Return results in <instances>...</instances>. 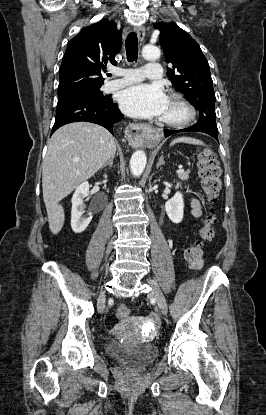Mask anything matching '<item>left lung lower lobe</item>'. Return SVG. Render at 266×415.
<instances>
[{"mask_svg":"<svg viewBox=\"0 0 266 415\" xmlns=\"http://www.w3.org/2000/svg\"><path fill=\"white\" fill-rule=\"evenodd\" d=\"M178 132H195V131L191 127L181 129V130H164L165 137H168V136H170L174 133H178ZM211 136L214 137L218 141V135H211Z\"/></svg>","mask_w":266,"mask_h":415,"instance_id":"1","label":"left lung lower lobe"}]
</instances>
